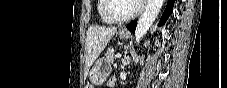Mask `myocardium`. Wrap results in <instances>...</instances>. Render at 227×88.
<instances>
[{
  "label": "myocardium",
  "mask_w": 227,
  "mask_h": 88,
  "mask_svg": "<svg viewBox=\"0 0 227 88\" xmlns=\"http://www.w3.org/2000/svg\"><path fill=\"white\" fill-rule=\"evenodd\" d=\"M111 2H112V0H105L104 13L111 20L112 23L121 24V23L131 21V20L135 19L142 12V9H143L142 5L137 4L136 9L130 15H128L126 17H115L111 13Z\"/></svg>",
  "instance_id": "1"
}]
</instances>
